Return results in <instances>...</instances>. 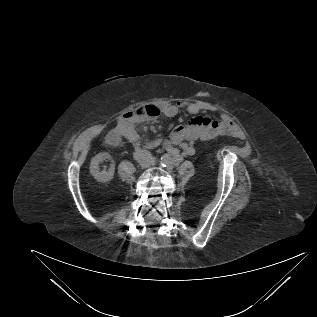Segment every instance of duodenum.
I'll use <instances>...</instances> for the list:
<instances>
[{"label":"duodenum","instance_id":"obj_1","mask_svg":"<svg viewBox=\"0 0 317 317\" xmlns=\"http://www.w3.org/2000/svg\"><path fill=\"white\" fill-rule=\"evenodd\" d=\"M123 138V135L121 133L118 132H114L112 133L109 138H108V143L109 145L116 147L118 146V144L120 143L121 139ZM131 143L135 146V147H139L140 144H135L134 142L131 141Z\"/></svg>","mask_w":317,"mask_h":317}]
</instances>
